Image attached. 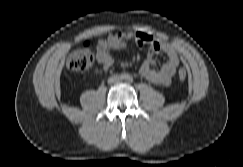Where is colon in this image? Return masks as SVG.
Here are the masks:
<instances>
[{
  "mask_svg": "<svg viewBox=\"0 0 243 167\" xmlns=\"http://www.w3.org/2000/svg\"><path fill=\"white\" fill-rule=\"evenodd\" d=\"M94 62V53L92 51L91 42L87 41L81 47L73 51L67 59V68L73 73H81L86 71ZM178 78L184 81L187 78V73L180 70Z\"/></svg>",
  "mask_w": 243,
  "mask_h": 167,
  "instance_id": "colon-1",
  "label": "colon"
}]
</instances>
